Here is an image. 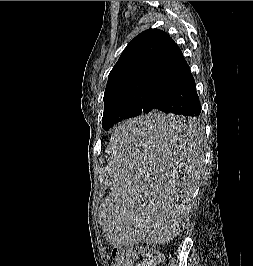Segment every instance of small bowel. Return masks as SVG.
<instances>
[{
  "label": "small bowel",
  "mask_w": 253,
  "mask_h": 266,
  "mask_svg": "<svg viewBox=\"0 0 253 266\" xmlns=\"http://www.w3.org/2000/svg\"><path fill=\"white\" fill-rule=\"evenodd\" d=\"M129 266H134V265H133V262H131ZM135 266H138V265H135Z\"/></svg>",
  "instance_id": "1"
}]
</instances>
